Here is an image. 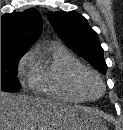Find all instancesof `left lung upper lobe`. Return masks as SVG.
<instances>
[{
    "label": "left lung upper lobe",
    "instance_id": "1",
    "mask_svg": "<svg viewBox=\"0 0 123 130\" xmlns=\"http://www.w3.org/2000/svg\"><path fill=\"white\" fill-rule=\"evenodd\" d=\"M47 18L55 32L75 53L99 72L106 73L107 65L97 33L81 14L74 11H58L50 12Z\"/></svg>",
    "mask_w": 123,
    "mask_h": 130
}]
</instances>
